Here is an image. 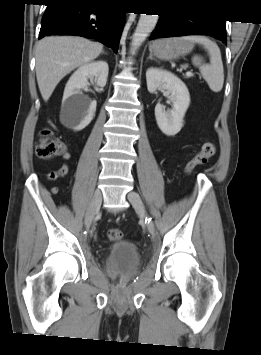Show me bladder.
<instances>
[{
	"instance_id": "obj_1",
	"label": "bladder",
	"mask_w": 261,
	"mask_h": 355,
	"mask_svg": "<svg viewBox=\"0 0 261 355\" xmlns=\"http://www.w3.org/2000/svg\"><path fill=\"white\" fill-rule=\"evenodd\" d=\"M140 261L136 245L128 240L113 243L105 257L108 270L117 276H132L138 269Z\"/></svg>"
}]
</instances>
